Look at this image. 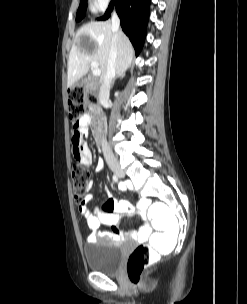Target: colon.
Returning <instances> with one entry per match:
<instances>
[{
  "mask_svg": "<svg viewBox=\"0 0 247 304\" xmlns=\"http://www.w3.org/2000/svg\"><path fill=\"white\" fill-rule=\"evenodd\" d=\"M87 104H97V98L94 94L86 93L81 86L74 87L68 91V113L72 122H79L80 118L85 114ZM89 181V173L84 166L73 165V192L75 200L79 204L84 200ZM115 211L131 213L133 208L124 202L109 200L103 207L102 213L112 214ZM148 211L154 235L150 245H138L129 255L127 274L133 285L140 284L142 273L145 267L154 260L155 253H173V246L177 244L178 240L177 232L180 227V220H177V215L172 214L165 202H152Z\"/></svg>",
  "mask_w": 247,
  "mask_h": 304,
  "instance_id": "5ec220e1",
  "label": "colon"
}]
</instances>
